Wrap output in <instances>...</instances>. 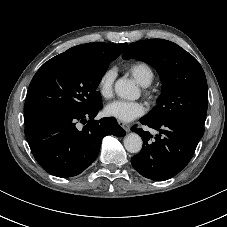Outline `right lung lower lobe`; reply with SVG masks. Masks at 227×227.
<instances>
[{"label": "right lung lower lobe", "instance_id": "1", "mask_svg": "<svg viewBox=\"0 0 227 227\" xmlns=\"http://www.w3.org/2000/svg\"><path fill=\"white\" fill-rule=\"evenodd\" d=\"M101 107L98 103L88 110L51 112L25 123L30 149L45 171L63 178L78 175L96 159L105 136L125 135L113 117L94 120Z\"/></svg>", "mask_w": 227, "mask_h": 227}]
</instances>
